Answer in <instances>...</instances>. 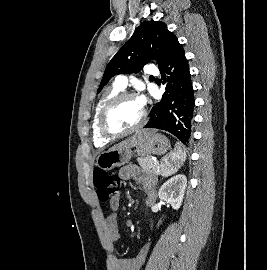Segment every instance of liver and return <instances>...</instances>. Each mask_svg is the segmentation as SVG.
<instances>
[{"mask_svg":"<svg viewBox=\"0 0 267 270\" xmlns=\"http://www.w3.org/2000/svg\"><path fill=\"white\" fill-rule=\"evenodd\" d=\"M154 133L153 130H141L137 131L133 136L119 142L114 145L109 150L117 149V148H132L143 143L149 136Z\"/></svg>","mask_w":267,"mask_h":270,"instance_id":"1","label":"liver"}]
</instances>
